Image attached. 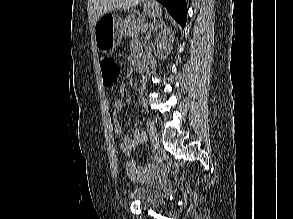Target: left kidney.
I'll return each mask as SVG.
<instances>
[{"instance_id":"1","label":"left kidney","mask_w":293,"mask_h":219,"mask_svg":"<svg viewBox=\"0 0 293 219\" xmlns=\"http://www.w3.org/2000/svg\"><path fill=\"white\" fill-rule=\"evenodd\" d=\"M174 41V32L166 28L159 32L155 39V53L160 59H165L168 52L172 48V43Z\"/></svg>"}]
</instances>
